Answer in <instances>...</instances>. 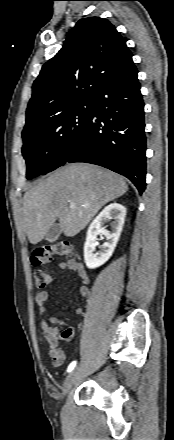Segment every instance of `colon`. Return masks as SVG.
Masks as SVG:
<instances>
[{"mask_svg":"<svg viewBox=\"0 0 174 440\" xmlns=\"http://www.w3.org/2000/svg\"><path fill=\"white\" fill-rule=\"evenodd\" d=\"M73 255L72 246L67 242H56L44 244L36 248L31 254V261L34 266H41L50 263L54 258H68ZM35 286L44 288L52 281V274L41 269H36L33 273ZM72 330L66 328L59 334L62 340L70 338Z\"/></svg>","mask_w":174,"mask_h":440,"instance_id":"colon-1","label":"colon"}]
</instances>
